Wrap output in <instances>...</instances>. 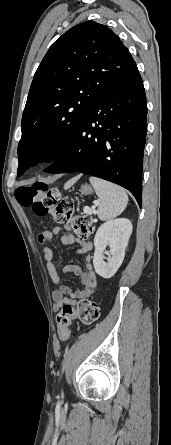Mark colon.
<instances>
[{
    "label": "colon",
    "instance_id": "1",
    "mask_svg": "<svg viewBox=\"0 0 171 445\" xmlns=\"http://www.w3.org/2000/svg\"><path fill=\"white\" fill-rule=\"evenodd\" d=\"M16 199L23 207L31 208L38 216H50L56 223L69 227L80 239H87L94 229L91 216L75 214L74 202L70 197H63L47 185L36 183L31 186L20 187L16 191ZM100 317L99 306L88 299H82L77 308L66 306L55 316L58 327L62 330L61 337L65 335V329L73 318L79 319L84 325H92Z\"/></svg>",
    "mask_w": 171,
    "mask_h": 445
}]
</instances>
